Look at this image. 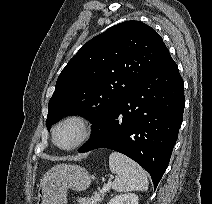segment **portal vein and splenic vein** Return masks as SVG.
I'll use <instances>...</instances> for the list:
<instances>
[{
  "label": "portal vein and splenic vein",
  "instance_id": "obj_1",
  "mask_svg": "<svg viewBox=\"0 0 212 204\" xmlns=\"http://www.w3.org/2000/svg\"><path fill=\"white\" fill-rule=\"evenodd\" d=\"M110 186H111V180H109L107 183H105L103 185L101 192L104 193V192L108 191L110 189Z\"/></svg>",
  "mask_w": 212,
  "mask_h": 204
}]
</instances>
